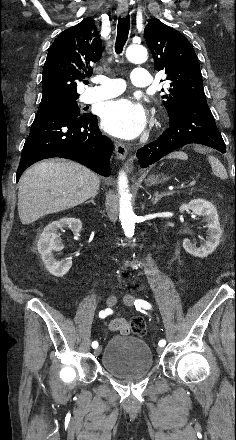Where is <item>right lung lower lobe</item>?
<instances>
[{"mask_svg": "<svg viewBox=\"0 0 236 440\" xmlns=\"http://www.w3.org/2000/svg\"><path fill=\"white\" fill-rule=\"evenodd\" d=\"M112 152L110 139L101 134L91 113L40 109L21 153L17 181L29 166L52 157L75 160L108 177Z\"/></svg>", "mask_w": 236, "mask_h": 440, "instance_id": "obj_1", "label": "right lung lower lobe"}]
</instances>
